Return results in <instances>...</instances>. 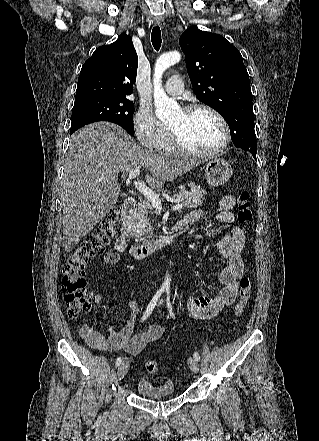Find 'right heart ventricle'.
<instances>
[{
    "mask_svg": "<svg viewBox=\"0 0 319 441\" xmlns=\"http://www.w3.org/2000/svg\"><path fill=\"white\" fill-rule=\"evenodd\" d=\"M172 145H171V142H170V140L168 139V141H167V143H166V145H165V147H164V149L163 150H165V151H172Z\"/></svg>",
    "mask_w": 319,
    "mask_h": 441,
    "instance_id": "right-heart-ventricle-1",
    "label": "right heart ventricle"
}]
</instances>
